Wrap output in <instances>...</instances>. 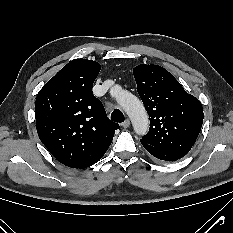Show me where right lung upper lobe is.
Returning <instances> with one entry per match:
<instances>
[{
	"instance_id": "1",
	"label": "right lung upper lobe",
	"mask_w": 233,
	"mask_h": 233,
	"mask_svg": "<svg viewBox=\"0 0 233 233\" xmlns=\"http://www.w3.org/2000/svg\"><path fill=\"white\" fill-rule=\"evenodd\" d=\"M100 69L95 61L74 59L43 86L36 98L38 136L68 167L81 169L95 164L119 128L92 93Z\"/></svg>"
}]
</instances>
